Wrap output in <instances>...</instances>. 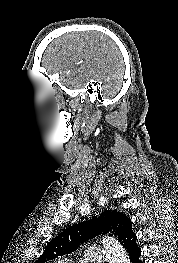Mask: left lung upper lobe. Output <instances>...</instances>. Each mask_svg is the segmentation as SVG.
<instances>
[{
  "instance_id": "1",
  "label": "left lung upper lobe",
  "mask_w": 178,
  "mask_h": 263,
  "mask_svg": "<svg viewBox=\"0 0 178 263\" xmlns=\"http://www.w3.org/2000/svg\"><path fill=\"white\" fill-rule=\"evenodd\" d=\"M129 218L116 210H105L99 218L73 225L53 238L35 263H46L59 256L74 252L85 241L99 234L111 232L120 236L124 224Z\"/></svg>"
}]
</instances>
